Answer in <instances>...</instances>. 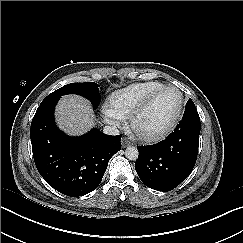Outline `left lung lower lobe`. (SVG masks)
I'll list each match as a JSON object with an SVG mask.
<instances>
[{
	"label": "left lung lower lobe",
	"instance_id": "left-lung-lower-lobe-1",
	"mask_svg": "<svg viewBox=\"0 0 243 243\" xmlns=\"http://www.w3.org/2000/svg\"><path fill=\"white\" fill-rule=\"evenodd\" d=\"M200 128L198 112L185 113L168 138L151 146L138 147L135 170L141 181L163 192L183 182L195 166Z\"/></svg>",
	"mask_w": 243,
	"mask_h": 243
}]
</instances>
